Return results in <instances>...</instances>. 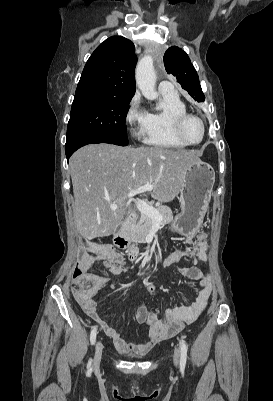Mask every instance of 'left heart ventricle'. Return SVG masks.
Returning a JSON list of instances; mask_svg holds the SVG:
<instances>
[{
	"mask_svg": "<svg viewBox=\"0 0 273 401\" xmlns=\"http://www.w3.org/2000/svg\"><path fill=\"white\" fill-rule=\"evenodd\" d=\"M183 137L189 142H199L203 138V127L200 121L195 118H189L182 127Z\"/></svg>",
	"mask_w": 273,
	"mask_h": 401,
	"instance_id": "obj_1",
	"label": "left heart ventricle"
}]
</instances>
